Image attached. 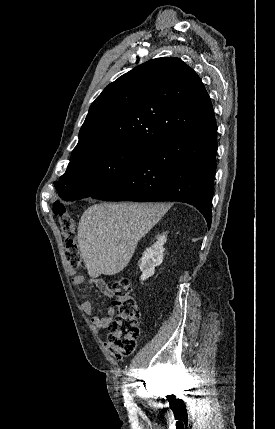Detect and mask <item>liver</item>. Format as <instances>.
I'll use <instances>...</instances> for the list:
<instances>
[{"mask_svg": "<svg viewBox=\"0 0 275 429\" xmlns=\"http://www.w3.org/2000/svg\"><path fill=\"white\" fill-rule=\"evenodd\" d=\"M166 210L161 203H100L85 210L78 226V246L89 276L123 271L140 239Z\"/></svg>", "mask_w": 275, "mask_h": 429, "instance_id": "6515ba94", "label": "liver"}]
</instances>
